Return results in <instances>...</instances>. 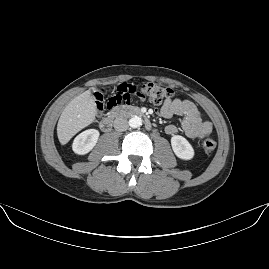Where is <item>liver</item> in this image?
I'll return each instance as SVG.
<instances>
[{
  "mask_svg": "<svg viewBox=\"0 0 269 269\" xmlns=\"http://www.w3.org/2000/svg\"><path fill=\"white\" fill-rule=\"evenodd\" d=\"M96 114V104L90 90L75 97L65 107L58 121L57 135L60 143H68L76 133L95 120Z\"/></svg>",
  "mask_w": 269,
  "mask_h": 269,
  "instance_id": "1",
  "label": "liver"
}]
</instances>
